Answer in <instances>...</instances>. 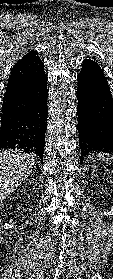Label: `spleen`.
<instances>
[{"instance_id": "1", "label": "spleen", "mask_w": 113, "mask_h": 279, "mask_svg": "<svg viewBox=\"0 0 113 279\" xmlns=\"http://www.w3.org/2000/svg\"><path fill=\"white\" fill-rule=\"evenodd\" d=\"M93 160L94 161H105V159H106V162L108 163V164H110L111 162H110V160H109V158L107 157V154H104V153H95V154H93ZM113 159V158H112Z\"/></svg>"}]
</instances>
